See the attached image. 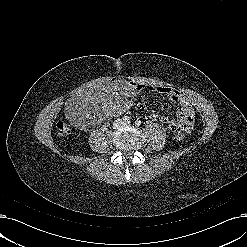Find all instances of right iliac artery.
<instances>
[{"label": "right iliac artery", "mask_w": 247, "mask_h": 247, "mask_svg": "<svg viewBox=\"0 0 247 247\" xmlns=\"http://www.w3.org/2000/svg\"><path fill=\"white\" fill-rule=\"evenodd\" d=\"M123 120H128V117L127 116L123 117Z\"/></svg>", "instance_id": "obj_1"}]
</instances>
